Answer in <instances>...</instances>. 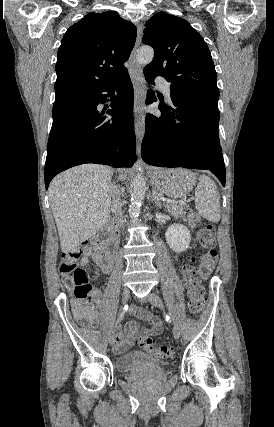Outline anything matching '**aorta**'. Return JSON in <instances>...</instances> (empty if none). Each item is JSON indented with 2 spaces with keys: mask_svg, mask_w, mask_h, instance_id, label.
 <instances>
[{
  "mask_svg": "<svg viewBox=\"0 0 274 427\" xmlns=\"http://www.w3.org/2000/svg\"><path fill=\"white\" fill-rule=\"evenodd\" d=\"M154 57V50L149 46H142L138 52L136 59L139 64L147 65ZM137 174L131 181V204L129 206V214L131 217H137L140 212V207L146 193V184L143 176L142 167L137 166Z\"/></svg>",
  "mask_w": 274,
  "mask_h": 427,
  "instance_id": "762f6f07",
  "label": "aorta"
}]
</instances>
